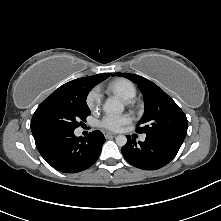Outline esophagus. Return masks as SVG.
I'll return each mask as SVG.
<instances>
[{"instance_id": "34e87169", "label": "esophagus", "mask_w": 221, "mask_h": 221, "mask_svg": "<svg viewBox=\"0 0 221 221\" xmlns=\"http://www.w3.org/2000/svg\"><path fill=\"white\" fill-rule=\"evenodd\" d=\"M104 136H105L106 138H108V137L116 136V134H115V133H111V132H105V133H104Z\"/></svg>"}]
</instances>
